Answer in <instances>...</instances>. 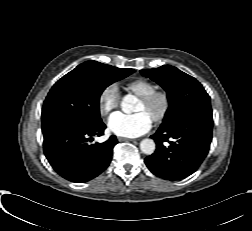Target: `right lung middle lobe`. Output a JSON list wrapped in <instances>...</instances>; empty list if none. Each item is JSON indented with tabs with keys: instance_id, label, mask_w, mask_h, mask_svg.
<instances>
[{
	"instance_id": "dd1d6c3e",
	"label": "right lung middle lobe",
	"mask_w": 252,
	"mask_h": 231,
	"mask_svg": "<svg viewBox=\"0 0 252 231\" xmlns=\"http://www.w3.org/2000/svg\"><path fill=\"white\" fill-rule=\"evenodd\" d=\"M134 73L96 61H86L58 80L42 108V132L64 125L95 126L102 122L100 95L110 84Z\"/></svg>"
}]
</instances>
